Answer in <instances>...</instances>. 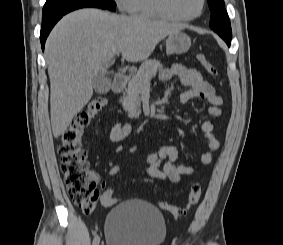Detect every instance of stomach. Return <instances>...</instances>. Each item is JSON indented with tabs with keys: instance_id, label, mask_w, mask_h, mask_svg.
<instances>
[{
	"instance_id": "0dacf381",
	"label": "stomach",
	"mask_w": 283,
	"mask_h": 245,
	"mask_svg": "<svg viewBox=\"0 0 283 245\" xmlns=\"http://www.w3.org/2000/svg\"><path fill=\"white\" fill-rule=\"evenodd\" d=\"M190 46V37L182 31H177L168 35V38L166 40V52L168 54L186 53L189 50Z\"/></svg>"
}]
</instances>
